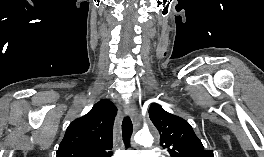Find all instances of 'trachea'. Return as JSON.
Instances as JSON below:
<instances>
[{"label": "trachea", "mask_w": 264, "mask_h": 157, "mask_svg": "<svg viewBox=\"0 0 264 157\" xmlns=\"http://www.w3.org/2000/svg\"><path fill=\"white\" fill-rule=\"evenodd\" d=\"M133 133V124L130 117H125L122 122V137L125 147H130L131 136Z\"/></svg>", "instance_id": "trachea-1"}]
</instances>
